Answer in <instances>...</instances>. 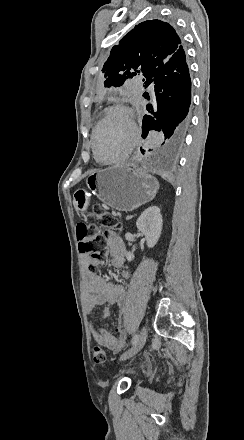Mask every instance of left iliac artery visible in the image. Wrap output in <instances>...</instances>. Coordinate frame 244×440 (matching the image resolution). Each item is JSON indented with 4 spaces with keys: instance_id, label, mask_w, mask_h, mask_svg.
Here are the masks:
<instances>
[{
    "instance_id": "1",
    "label": "left iliac artery",
    "mask_w": 244,
    "mask_h": 440,
    "mask_svg": "<svg viewBox=\"0 0 244 440\" xmlns=\"http://www.w3.org/2000/svg\"><path fill=\"white\" fill-rule=\"evenodd\" d=\"M137 339H138V335L135 334L131 340V344L134 345L136 343Z\"/></svg>"
}]
</instances>
